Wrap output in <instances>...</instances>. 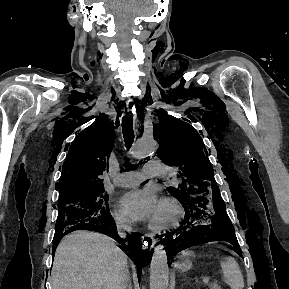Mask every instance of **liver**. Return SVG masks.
I'll return each mask as SVG.
<instances>
[{
  "label": "liver",
  "instance_id": "liver-1",
  "mask_svg": "<svg viewBox=\"0 0 289 289\" xmlns=\"http://www.w3.org/2000/svg\"><path fill=\"white\" fill-rule=\"evenodd\" d=\"M126 254L102 234L78 231L57 246L52 289H120Z\"/></svg>",
  "mask_w": 289,
  "mask_h": 289
}]
</instances>
